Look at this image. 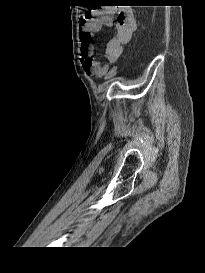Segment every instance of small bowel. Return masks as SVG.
Instances as JSON below:
<instances>
[{
	"label": "small bowel",
	"instance_id": "small-bowel-1",
	"mask_svg": "<svg viewBox=\"0 0 205 273\" xmlns=\"http://www.w3.org/2000/svg\"><path fill=\"white\" fill-rule=\"evenodd\" d=\"M116 17V34L108 40L105 47V58L116 62L122 54L123 47L132 38L136 21L128 9H117L105 6L99 11L87 12L80 18L79 38L81 42V63L85 73L94 78H102L109 72V66L92 58L94 45L92 35L105 26H111Z\"/></svg>",
	"mask_w": 205,
	"mask_h": 273
}]
</instances>
